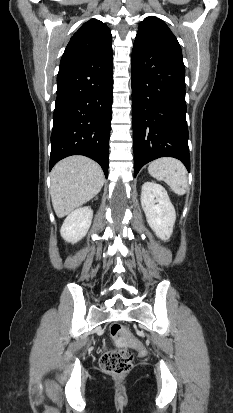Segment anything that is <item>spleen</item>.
Wrapping results in <instances>:
<instances>
[{"label": "spleen", "instance_id": "3e777b00", "mask_svg": "<svg viewBox=\"0 0 233 413\" xmlns=\"http://www.w3.org/2000/svg\"><path fill=\"white\" fill-rule=\"evenodd\" d=\"M148 172L157 180L164 181L175 194L181 196L186 193L187 170L179 160L168 157L159 158L149 164Z\"/></svg>", "mask_w": 233, "mask_h": 413}]
</instances>
